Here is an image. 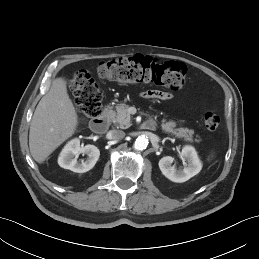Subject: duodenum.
<instances>
[{
	"label": "duodenum",
	"instance_id": "duodenum-1",
	"mask_svg": "<svg viewBox=\"0 0 259 259\" xmlns=\"http://www.w3.org/2000/svg\"><path fill=\"white\" fill-rule=\"evenodd\" d=\"M108 125H109V114H108V112H104V113L100 114L99 116L94 118L91 122V128L96 133H105L108 129ZM144 126L151 128L152 124L145 123Z\"/></svg>",
	"mask_w": 259,
	"mask_h": 259
}]
</instances>
